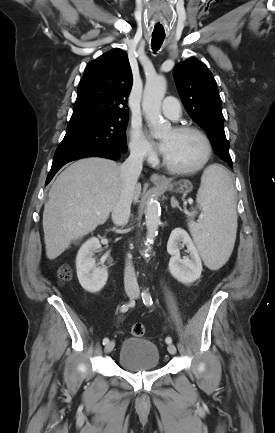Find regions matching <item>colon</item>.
<instances>
[{
  "instance_id": "5ec220e1",
  "label": "colon",
  "mask_w": 275,
  "mask_h": 433,
  "mask_svg": "<svg viewBox=\"0 0 275 433\" xmlns=\"http://www.w3.org/2000/svg\"><path fill=\"white\" fill-rule=\"evenodd\" d=\"M71 269L67 265H62L57 269V277L61 282H67L71 278ZM131 333L135 337H142L145 334V326L141 323L132 325Z\"/></svg>"
}]
</instances>
